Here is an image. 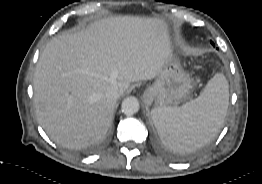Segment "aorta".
<instances>
[{
	"label": "aorta",
	"mask_w": 262,
	"mask_h": 184,
	"mask_svg": "<svg viewBox=\"0 0 262 184\" xmlns=\"http://www.w3.org/2000/svg\"><path fill=\"white\" fill-rule=\"evenodd\" d=\"M122 111L126 115H133L139 110V101L136 97L130 96L122 101Z\"/></svg>",
	"instance_id": "obj_1"
}]
</instances>
